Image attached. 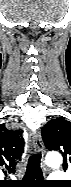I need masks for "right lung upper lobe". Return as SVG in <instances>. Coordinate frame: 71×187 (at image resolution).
<instances>
[{
  "label": "right lung upper lobe",
  "instance_id": "obj_1",
  "mask_svg": "<svg viewBox=\"0 0 71 187\" xmlns=\"http://www.w3.org/2000/svg\"><path fill=\"white\" fill-rule=\"evenodd\" d=\"M23 147L24 139L19 131L7 129L4 124L0 125V157L7 172H15Z\"/></svg>",
  "mask_w": 71,
  "mask_h": 187
}]
</instances>
